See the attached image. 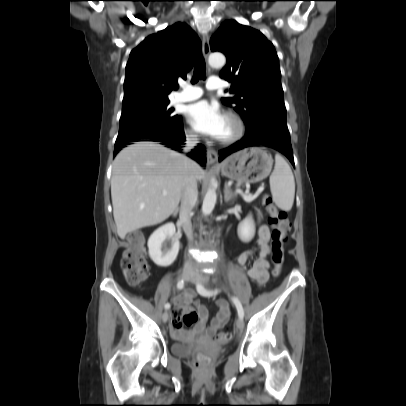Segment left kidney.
Returning a JSON list of instances; mask_svg holds the SVG:
<instances>
[{
  "label": "left kidney",
  "instance_id": "left-kidney-1",
  "mask_svg": "<svg viewBox=\"0 0 406 406\" xmlns=\"http://www.w3.org/2000/svg\"><path fill=\"white\" fill-rule=\"evenodd\" d=\"M255 233L254 222L252 216L249 215L238 226V236L243 242H249Z\"/></svg>",
  "mask_w": 406,
  "mask_h": 406
}]
</instances>
